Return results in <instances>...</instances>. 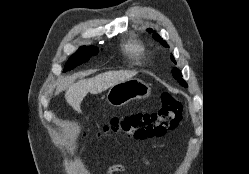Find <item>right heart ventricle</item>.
Returning <instances> with one entry per match:
<instances>
[{
  "instance_id": "1",
  "label": "right heart ventricle",
  "mask_w": 249,
  "mask_h": 174,
  "mask_svg": "<svg viewBox=\"0 0 249 174\" xmlns=\"http://www.w3.org/2000/svg\"><path fill=\"white\" fill-rule=\"evenodd\" d=\"M128 54L136 60H141L144 56V48L136 41H131L126 46Z\"/></svg>"
}]
</instances>
